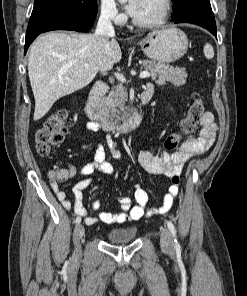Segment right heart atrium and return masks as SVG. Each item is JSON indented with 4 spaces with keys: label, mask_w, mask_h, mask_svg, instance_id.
Returning <instances> with one entry per match:
<instances>
[{
    "label": "right heart atrium",
    "mask_w": 247,
    "mask_h": 296,
    "mask_svg": "<svg viewBox=\"0 0 247 296\" xmlns=\"http://www.w3.org/2000/svg\"><path fill=\"white\" fill-rule=\"evenodd\" d=\"M99 13L104 19L114 22L122 23L124 21V14L120 12L115 0H98Z\"/></svg>",
    "instance_id": "right-heart-atrium-1"
}]
</instances>
